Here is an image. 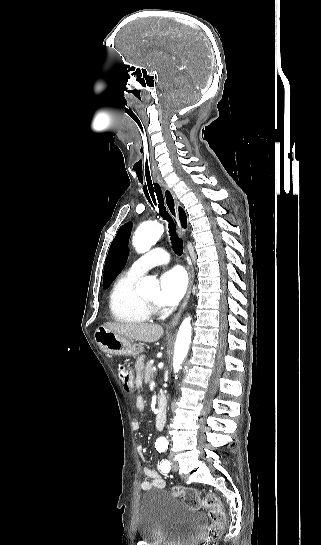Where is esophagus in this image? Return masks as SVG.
Instances as JSON below:
<instances>
[{
    "label": "esophagus",
    "instance_id": "34e87169",
    "mask_svg": "<svg viewBox=\"0 0 321 545\" xmlns=\"http://www.w3.org/2000/svg\"><path fill=\"white\" fill-rule=\"evenodd\" d=\"M163 196H164V199H165L166 207H167L169 213L174 218V220L176 222V225H177L181 235L185 236V230L182 229V227L180 225L179 217H178V200L176 198V195L174 194V192L169 187L164 185L163 186ZM185 254H186V257H188L187 250L185 251ZM187 272H188V287H187L186 296H185L184 301L182 302V305H181L180 309L178 310L177 314L173 317V319L171 320V322L167 326L168 328H173V327H175V325H177V323L179 322L180 317L182 315V312L184 311V308L186 307V305L188 303V300L190 298L191 289H192L193 280H194V269H193L192 265L189 264V263L187 265Z\"/></svg>",
    "mask_w": 321,
    "mask_h": 545
}]
</instances>
